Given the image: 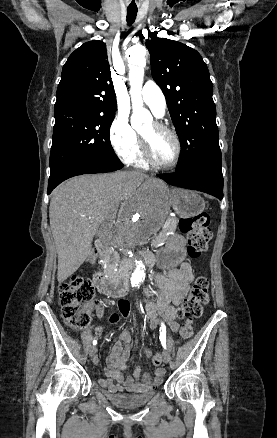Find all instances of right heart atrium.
Listing matches in <instances>:
<instances>
[{"mask_svg": "<svg viewBox=\"0 0 277 438\" xmlns=\"http://www.w3.org/2000/svg\"><path fill=\"white\" fill-rule=\"evenodd\" d=\"M111 143L119 156L131 160L138 151L136 132L129 124L127 114L118 112L110 128Z\"/></svg>", "mask_w": 277, "mask_h": 438, "instance_id": "right-heart-atrium-1", "label": "right heart atrium"}]
</instances>
